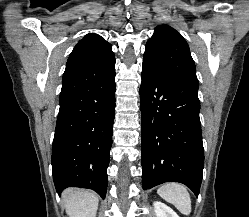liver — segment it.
<instances>
[{
	"label": "liver",
	"mask_w": 249,
	"mask_h": 217,
	"mask_svg": "<svg viewBox=\"0 0 249 217\" xmlns=\"http://www.w3.org/2000/svg\"><path fill=\"white\" fill-rule=\"evenodd\" d=\"M63 202L69 217H95L98 196L89 190L68 188L63 191Z\"/></svg>",
	"instance_id": "liver-1"
}]
</instances>
